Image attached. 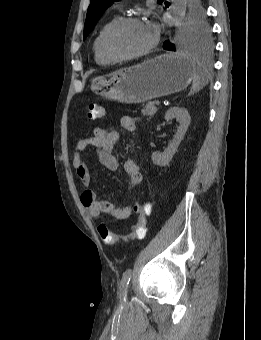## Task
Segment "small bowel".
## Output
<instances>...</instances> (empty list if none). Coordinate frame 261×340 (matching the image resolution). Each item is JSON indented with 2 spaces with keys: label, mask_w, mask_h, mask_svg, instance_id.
<instances>
[{
  "label": "small bowel",
  "mask_w": 261,
  "mask_h": 340,
  "mask_svg": "<svg viewBox=\"0 0 261 340\" xmlns=\"http://www.w3.org/2000/svg\"><path fill=\"white\" fill-rule=\"evenodd\" d=\"M136 119L131 116L121 118V126L127 131L135 130ZM120 138L117 131H110L102 127H95L93 136L79 140L76 145L72 165L80 180V183L86 189L82 192L80 200L83 207L91 217H98L100 214H108L115 219L123 220L128 218L132 213L130 204L120 205V202H110L107 200H98L97 192L89 189L91 175L89 168L82 157V152L91 146L98 151L100 162L109 170L116 171L119 168V159L115 154V146ZM123 169L128 183L133 188H138L142 184V174L139 171L138 164L133 159H126L123 163Z\"/></svg>",
  "instance_id": "c3829d8e"
}]
</instances>
